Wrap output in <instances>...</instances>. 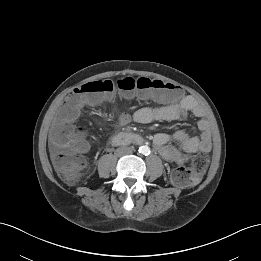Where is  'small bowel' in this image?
Returning a JSON list of instances; mask_svg holds the SVG:
<instances>
[{"label": "small bowel", "mask_w": 261, "mask_h": 261, "mask_svg": "<svg viewBox=\"0 0 261 261\" xmlns=\"http://www.w3.org/2000/svg\"><path fill=\"white\" fill-rule=\"evenodd\" d=\"M191 113L197 118L199 136H192L185 130L176 131L172 136L158 133L153 142L160 155L169 162L182 163L197 152H209L211 149V130L205 118L203 106L192 96H185L178 101L165 105H151L138 109L133 114L122 113L117 119V126H125L132 121L147 124L154 121L183 120ZM174 141L175 145L171 142Z\"/></svg>", "instance_id": "small-bowel-1"}]
</instances>
